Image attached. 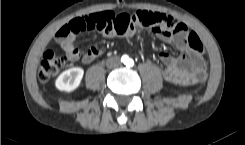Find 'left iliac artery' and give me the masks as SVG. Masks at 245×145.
I'll return each mask as SVG.
<instances>
[{
    "instance_id": "left-iliac-artery-1",
    "label": "left iliac artery",
    "mask_w": 245,
    "mask_h": 145,
    "mask_svg": "<svg viewBox=\"0 0 245 145\" xmlns=\"http://www.w3.org/2000/svg\"><path fill=\"white\" fill-rule=\"evenodd\" d=\"M133 65H134V62H133V60L130 59V60L128 61V67H132Z\"/></svg>"
}]
</instances>
